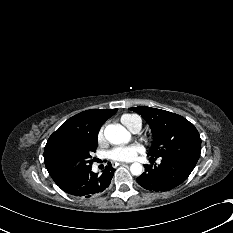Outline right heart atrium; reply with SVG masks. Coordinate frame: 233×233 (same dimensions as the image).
I'll return each instance as SVG.
<instances>
[{
    "label": "right heart atrium",
    "instance_id": "obj_1",
    "mask_svg": "<svg viewBox=\"0 0 233 233\" xmlns=\"http://www.w3.org/2000/svg\"><path fill=\"white\" fill-rule=\"evenodd\" d=\"M97 139L99 143L104 142V129L101 128L98 132Z\"/></svg>",
    "mask_w": 233,
    "mask_h": 233
}]
</instances>
